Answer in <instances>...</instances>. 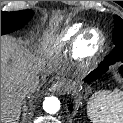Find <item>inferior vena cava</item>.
<instances>
[{"label":"inferior vena cava","instance_id":"1","mask_svg":"<svg viewBox=\"0 0 123 123\" xmlns=\"http://www.w3.org/2000/svg\"><path fill=\"white\" fill-rule=\"evenodd\" d=\"M40 88V81L38 77L26 78L22 83V90L26 95L33 94Z\"/></svg>","mask_w":123,"mask_h":123}]
</instances>
